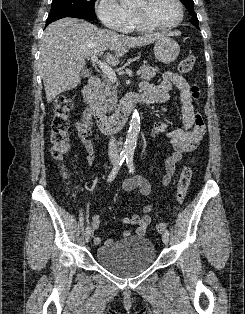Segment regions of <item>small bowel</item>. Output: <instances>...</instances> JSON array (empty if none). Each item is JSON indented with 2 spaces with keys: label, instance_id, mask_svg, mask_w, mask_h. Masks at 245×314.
<instances>
[{
  "label": "small bowel",
  "instance_id": "c3829d8e",
  "mask_svg": "<svg viewBox=\"0 0 245 314\" xmlns=\"http://www.w3.org/2000/svg\"><path fill=\"white\" fill-rule=\"evenodd\" d=\"M180 91V100L182 103V128L169 129L168 124L163 121L157 122L150 131L151 137L162 135L172 150L165 160V172L160 185L167 186L175 174L177 163L181 160L184 153L196 148L206 133V126L203 117L197 110V103L200 99V89L197 85H190L182 76L174 72H166L158 85L144 82L141 84L143 93L142 101L144 103H165L170 99V91L173 87ZM147 98L145 101L144 99ZM78 138L86 150V161L89 165L95 162L94 141L97 138L94 132L93 118L84 111L80 115V120L76 124ZM125 192L138 189L143 196L150 194L152 185L145 178L136 176L125 180L122 184ZM152 204L146 205L142 209V214H135L131 217H122L120 221L124 224L135 225V235L143 237L148 226L151 224L152 217L150 212L153 210ZM92 231L95 232L100 227L98 216L91 219ZM130 231L122 232V237H129ZM102 239L99 236L94 238L95 244H100ZM107 239L105 243L112 242Z\"/></svg>",
  "mask_w": 245,
  "mask_h": 314
}]
</instances>
